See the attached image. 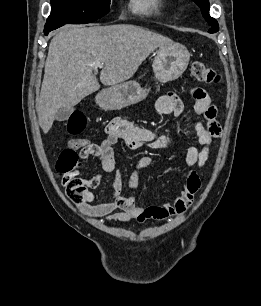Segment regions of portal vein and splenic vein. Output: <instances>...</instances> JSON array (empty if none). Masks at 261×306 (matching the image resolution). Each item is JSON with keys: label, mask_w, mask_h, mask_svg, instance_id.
<instances>
[{"label": "portal vein and splenic vein", "mask_w": 261, "mask_h": 306, "mask_svg": "<svg viewBox=\"0 0 261 306\" xmlns=\"http://www.w3.org/2000/svg\"><path fill=\"white\" fill-rule=\"evenodd\" d=\"M103 64H104L103 62L97 61V62L95 63V66H96V67H102Z\"/></svg>", "instance_id": "18ae733b"}]
</instances>
